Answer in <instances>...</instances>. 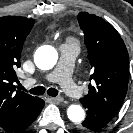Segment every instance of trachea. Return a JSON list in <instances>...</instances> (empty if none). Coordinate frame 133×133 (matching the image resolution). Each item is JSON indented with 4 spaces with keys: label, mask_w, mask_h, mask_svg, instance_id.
Wrapping results in <instances>:
<instances>
[{
    "label": "trachea",
    "mask_w": 133,
    "mask_h": 133,
    "mask_svg": "<svg viewBox=\"0 0 133 133\" xmlns=\"http://www.w3.org/2000/svg\"><path fill=\"white\" fill-rule=\"evenodd\" d=\"M21 89L27 91L23 86H21ZM29 92L34 95H42L45 93V88L43 86H37L30 89ZM47 94L49 96L55 97L58 95V91L55 88H49L47 90Z\"/></svg>",
    "instance_id": "obj_1"
}]
</instances>
